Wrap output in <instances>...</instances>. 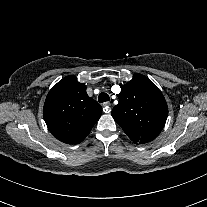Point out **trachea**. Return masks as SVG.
Here are the masks:
<instances>
[{"mask_svg": "<svg viewBox=\"0 0 207 207\" xmlns=\"http://www.w3.org/2000/svg\"><path fill=\"white\" fill-rule=\"evenodd\" d=\"M109 95L107 93H101L98 97V101L100 103H103V102H106V101H109Z\"/></svg>", "mask_w": 207, "mask_h": 207, "instance_id": "3493384b", "label": "trachea"}]
</instances>
